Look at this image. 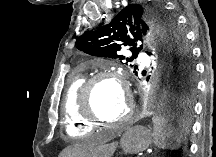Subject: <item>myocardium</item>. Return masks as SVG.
I'll return each instance as SVG.
<instances>
[{
	"mask_svg": "<svg viewBox=\"0 0 216 157\" xmlns=\"http://www.w3.org/2000/svg\"><path fill=\"white\" fill-rule=\"evenodd\" d=\"M110 81L116 85L124 92V85L122 83L121 77L118 73L114 72H104L98 73L94 76L89 77L81 85L78 97L77 106L81 116L86 119L91 124H100L103 126H119L127 123L133 116V104L128 103V108L125 113L117 120L113 122L105 121L100 118L93 107V92L94 88L102 82Z\"/></svg>",
	"mask_w": 216,
	"mask_h": 157,
	"instance_id": "myocardium-1",
	"label": "myocardium"
}]
</instances>
